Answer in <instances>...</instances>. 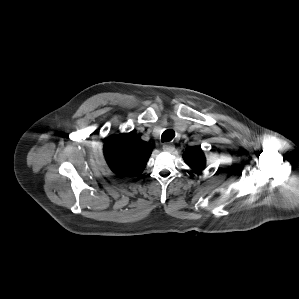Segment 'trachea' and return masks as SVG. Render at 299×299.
<instances>
[{"instance_id":"3493384b","label":"trachea","mask_w":299,"mask_h":299,"mask_svg":"<svg viewBox=\"0 0 299 299\" xmlns=\"http://www.w3.org/2000/svg\"><path fill=\"white\" fill-rule=\"evenodd\" d=\"M174 136L175 132L172 129H168L162 133L161 140L162 142H169L174 138Z\"/></svg>"}]
</instances>
